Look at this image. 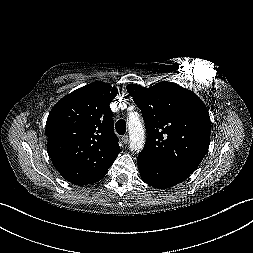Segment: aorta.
<instances>
[{"mask_svg": "<svg viewBox=\"0 0 253 253\" xmlns=\"http://www.w3.org/2000/svg\"><path fill=\"white\" fill-rule=\"evenodd\" d=\"M128 130L130 136V150L139 152L144 147L145 133L138 116H133L129 119Z\"/></svg>", "mask_w": 253, "mask_h": 253, "instance_id": "1", "label": "aorta"}]
</instances>
